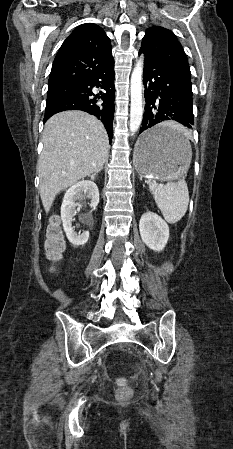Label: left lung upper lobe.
Masks as SVG:
<instances>
[{
    "label": "left lung upper lobe",
    "mask_w": 233,
    "mask_h": 449,
    "mask_svg": "<svg viewBox=\"0 0 233 449\" xmlns=\"http://www.w3.org/2000/svg\"><path fill=\"white\" fill-rule=\"evenodd\" d=\"M140 50L190 79L187 56L172 31L160 26L148 28L142 39Z\"/></svg>",
    "instance_id": "5c2ea615"
}]
</instances>
